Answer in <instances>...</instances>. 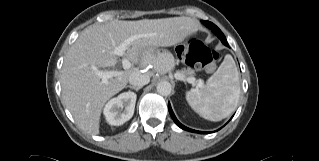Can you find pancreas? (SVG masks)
I'll return each instance as SVG.
<instances>
[{"instance_id": "cf45deb5", "label": "pancreas", "mask_w": 319, "mask_h": 161, "mask_svg": "<svg viewBox=\"0 0 319 161\" xmlns=\"http://www.w3.org/2000/svg\"><path fill=\"white\" fill-rule=\"evenodd\" d=\"M180 74H182L185 77L192 76L193 71H191V70H182V71H180Z\"/></svg>"}]
</instances>
